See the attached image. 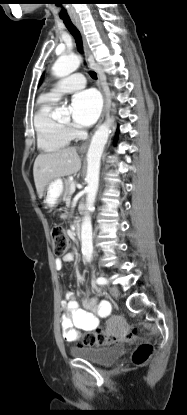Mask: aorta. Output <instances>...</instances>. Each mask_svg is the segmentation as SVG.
I'll use <instances>...</instances> for the list:
<instances>
[{
  "label": "aorta",
  "mask_w": 187,
  "mask_h": 415,
  "mask_svg": "<svg viewBox=\"0 0 187 415\" xmlns=\"http://www.w3.org/2000/svg\"><path fill=\"white\" fill-rule=\"evenodd\" d=\"M81 63V59L77 55L60 56L52 67V72L56 77H66L73 73ZM63 114L61 108H56L53 115L60 117ZM110 134L109 121L98 127L94 133L88 153H87V196L86 208L87 212L83 218L81 225V243L82 252L86 260L92 259L93 243H92V223L90 211L94 208V203L99 186L100 159Z\"/></svg>",
  "instance_id": "762f6f07"
}]
</instances>
